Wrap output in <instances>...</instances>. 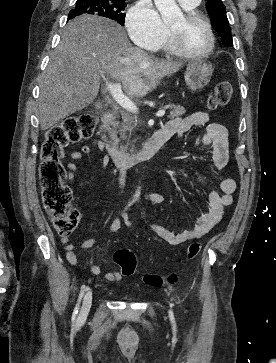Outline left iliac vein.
<instances>
[{
    "mask_svg": "<svg viewBox=\"0 0 276 363\" xmlns=\"http://www.w3.org/2000/svg\"><path fill=\"white\" fill-rule=\"evenodd\" d=\"M170 317H171V319H173V313H172V311H170Z\"/></svg>",
    "mask_w": 276,
    "mask_h": 363,
    "instance_id": "1",
    "label": "left iliac vein"
}]
</instances>
